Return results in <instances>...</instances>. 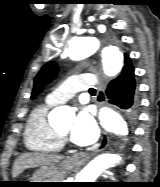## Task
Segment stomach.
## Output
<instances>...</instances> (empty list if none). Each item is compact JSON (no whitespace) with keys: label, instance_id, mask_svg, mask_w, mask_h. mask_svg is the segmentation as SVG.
Here are the masks:
<instances>
[{"label":"stomach","instance_id":"1","mask_svg":"<svg viewBox=\"0 0 160 187\" xmlns=\"http://www.w3.org/2000/svg\"><path fill=\"white\" fill-rule=\"evenodd\" d=\"M74 165L69 162L65 161L60 165H53L48 167H40L38 170L35 171L33 174L30 183L28 186L30 187H50L56 186L54 184L59 183H41V182H62L63 176L72 170Z\"/></svg>","mask_w":160,"mask_h":187}]
</instances>
